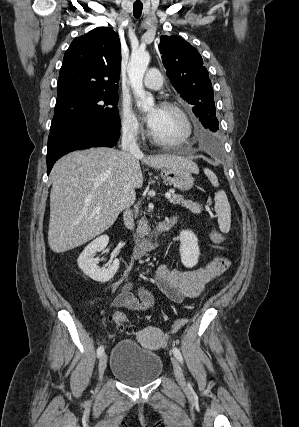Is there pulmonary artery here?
Segmentation results:
<instances>
[{
  "instance_id": "obj_1",
  "label": "pulmonary artery",
  "mask_w": 299,
  "mask_h": 427,
  "mask_svg": "<svg viewBox=\"0 0 299 427\" xmlns=\"http://www.w3.org/2000/svg\"><path fill=\"white\" fill-rule=\"evenodd\" d=\"M144 85L152 90L160 89L163 85L160 71L155 68L149 69L144 78Z\"/></svg>"
}]
</instances>
